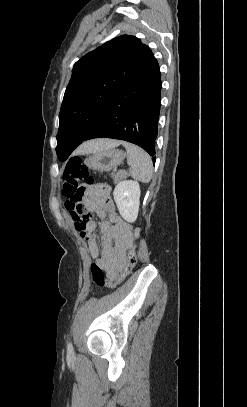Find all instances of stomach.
I'll return each instance as SVG.
<instances>
[{"mask_svg": "<svg viewBox=\"0 0 247 407\" xmlns=\"http://www.w3.org/2000/svg\"><path fill=\"white\" fill-rule=\"evenodd\" d=\"M125 158V153L116 148L103 149L87 156L85 165L95 171H111L120 165Z\"/></svg>", "mask_w": 247, "mask_h": 407, "instance_id": "0dacf381", "label": "stomach"}]
</instances>
